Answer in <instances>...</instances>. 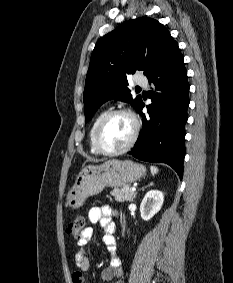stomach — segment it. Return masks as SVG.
Instances as JSON below:
<instances>
[{"instance_id": "0dacf381", "label": "stomach", "mask_w": 233, "mask_h": 283, "mask_svg": "<svg viewBox=\"0 0 233 283\" xmlns=\"http://www.w3.org/2000/svg\"><path fill=\"white\" fill-rule=\"evenodd\" d=\"M146 168L131 160H108L101 165L82 168L66 196V206L77 209L88 197L97 195L105 187L119 188L139 180Z\"/></svg>"}]
</instances>
